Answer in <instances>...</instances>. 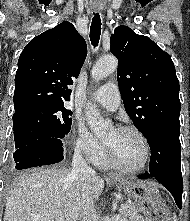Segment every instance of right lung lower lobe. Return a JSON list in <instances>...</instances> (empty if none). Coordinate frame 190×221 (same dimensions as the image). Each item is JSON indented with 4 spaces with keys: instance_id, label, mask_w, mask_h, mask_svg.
<instances>
[{
    "instance_id": "98d812e1",
    "label": "right lung lower lobe",
    "mask_w": 190,
    "mask_h": 221,
    "mask_svg": "<svg viewBox=\"0 0 190 221\" xmlns=\"http://www.w3.org/2000/svg\"><path fill=\"white\" fill-rule=\"evenodd\" d=\"M63 143L60 138L48 137L36 140L13 154L16 169L54 164L63 160Z\"/></svg>"
}]
</instances>
